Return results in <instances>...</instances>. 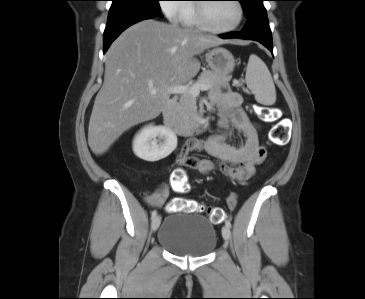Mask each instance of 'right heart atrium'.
I'll return each mask as SVG.
<instances>
[{
	"label": "right heart atrium",
	"instance_id": "right-heart-atrium-1",
	"mask_svg": "<svg viewBox=\"0 0 365 299\" xmlns=\"http://www.w3.org/2000/svg\"><path fill=\"white\" fill-rule=\"evenodd\" d=\"M159 2L162 12L169 20L179 22L182 19L185 7L182 4L176 3L178 0H160Z\"/></svg>",
	"mask_w": 365,
	"mask_h": 299
}]
</instances>
